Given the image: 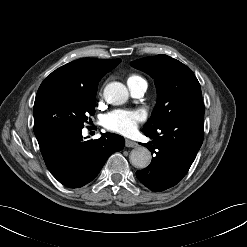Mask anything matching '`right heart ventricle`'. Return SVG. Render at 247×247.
I'll list each match as a JSON object with an SVG mask.
<instances>
[{
    "label": "right heart ventricle",
    "mask_w": 247,
    "mask_h": 247,
    "mask_svg": "<svg viewBox=\"0 0 247 247\" xmlns=\"http://www.w3.org/2000/svg\"><path fill=\"white\" fill-rule=\"evenodd\" d=\"M138 80H143L140 76H138V75H130L129 77H128V82H132V81H138Z\"/></svg>",
    "instance_id": "right-heart-ventricle-1"
}]
</instances>
